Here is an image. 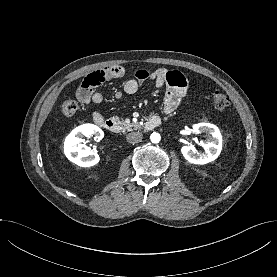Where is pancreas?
<instances>
[{
	"instance_id": "cf45deb5",
	"label": "pancreas",
	"mask_w": 277,
	"mask_h": 277,
	"mask_svg": "<svg viewBox=\"0 0 277 277\" xmlns=\"http://www.w3.org/2000/svg\"><path fill=\"white\" fill-rule=\"evenodd\" d=\"M113 119L120 126L122 132L131 131L133 128L140 129L141 127L138 123H129V122H126L125 120H120L119 117H114Z\"/></svg>"
}]
</instances>
